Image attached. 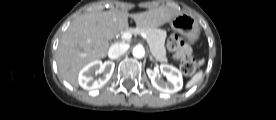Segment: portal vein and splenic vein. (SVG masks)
I'll return each mask as SVG.
<instances>
[{"instance_id": "obj_1", "label": "portal vein and splenic vein", "mask_w": 276, "mask_h": 120, "mask_svg": "<svg viewBox=\"0 0 276 120\" xmlns=\"http://www.w3.org/2000/svg\"><path fill=\"white\" fill-rule=\"evenodd\" d=\"M140 34L144 39L147 40V35L145 33L141 32ZM131 37H132V34L130 32H125L122 34L121 39L126 41V40H130Z\"/></svg>"}]
</instances>
